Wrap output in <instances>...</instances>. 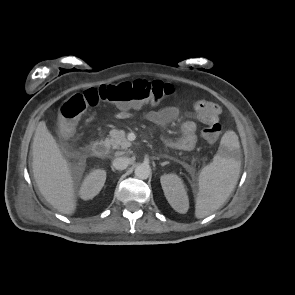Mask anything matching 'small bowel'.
<instances>
[{
  "label": "small bowel",
  "instance_id": "obj_1",
  "mask_svg": "<svg viewBox=\"0 0 295 295\" xmlns=\"http://www.w3.org/2000/svg\"><path fill=\"white\" fill-rule=\"evenodd\" d=\"M193 110L196 118L204 123L210 124L218 122L219 116L222 113L221 107L211 101L197 100L193 104ZM179 114L177 105L167 106L156 111H149L144 114V118L154 124L164 125L174 121ZM135 116L132 108H119L114 117L116 119H130ZM197 139L196 124L192 121L185 122L181 127V135L178 139H166L167 145L179 150H191L195 146Z\"/></svg>",
  "mask_w": 295,
  "mask_h": 295
}]
</instances>
